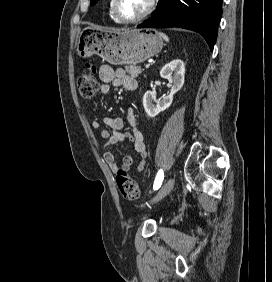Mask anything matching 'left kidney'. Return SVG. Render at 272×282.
I'll return each instance as SVG.
<instances>
[{
    "mask_svg": "<svg viewBox=\"0 0 272 282\" xmlns=\"http://www.w3.org/2000/svg\"><path fill=\"white\" fill-rule=\"evenodd\" d=\"M160 76L171 84V92L167 96L156 99L155 92L147 91L143 97V106L149 117H155L170 107L173 96L184 84L185 64L180 59L167 63L160 71Z\"/></svg>",
    "mask_w": 272,
    "mask_h": 282,
    "instance_id": "left-kidney-1",
    "label": "left kidney"
}]
</instances>
